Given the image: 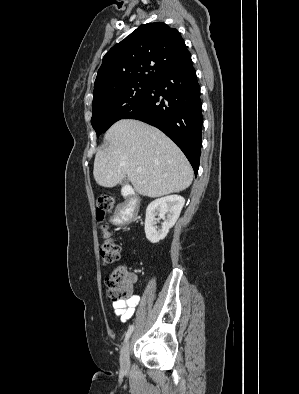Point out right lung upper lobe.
<instances>
[{"mask_svg": "<svg viewBox=\"0 0 299 394\" xmlns=\"http://www.w3.org/2000/svg\"><path fill=\"white\" fill-rule=\"evenodd\" d=\"M188 54L176 29L162 22L141 25L105 54L94 95L129 83H152Z\"/></svg>", "mask_w": 299, "mask_h": 394, "instance_id": "cb5924a9", "label": "right lung upper lobe"}]
</instances>
